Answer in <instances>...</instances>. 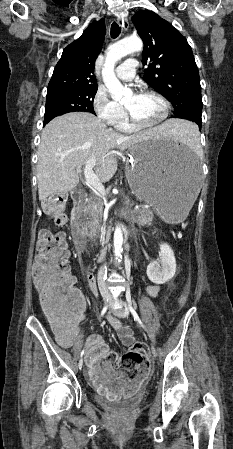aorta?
<instances>
[{
  "mask_svg": "<svg viewBox=\"0 0 233 449\" xmlns=\"http://www.w3.org/2000/svg\"><path fill=\"white\" fill-rule=\"evenodd\" d=\"M143 48V43L137 36L125 38L109 47L105 64L102 69V77L112 98L116 101L123 97L130 96L132 91L128 87H124L117 79L114 73L115 63L122 57L139 52ZM123 245V233L120 226H117L114 232V253L116 260L119 262Z\"/></svg>",
  "mask_w": 233,
  "mask_h": 449,
  "instance_id": "aorta-1",
  "label": "aorta"
}]
</instances>
